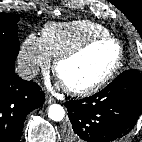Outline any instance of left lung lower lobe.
<instances>
[{"label": "left lung lower lobe", "mask_w": 142, "mask_h": 142, "mask_svg": "<svg viewBox=\"0 0 142 142\" xmlns=\"http://www.w3.org/2000/svg\"><path fill=\"white\" fill-rule=\"evenodd\" d=\"M65 106L70 119L66 142L120 141L141 113L142 76L137 70H126L102 91L67 101Z\"/></svg>", "instance_id": "obj_1"}]
</instances>
